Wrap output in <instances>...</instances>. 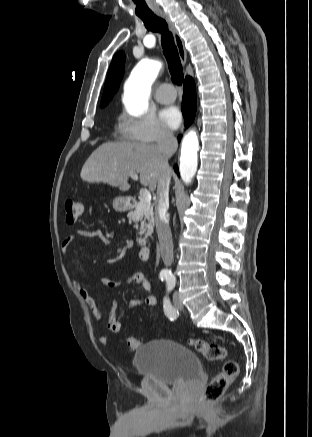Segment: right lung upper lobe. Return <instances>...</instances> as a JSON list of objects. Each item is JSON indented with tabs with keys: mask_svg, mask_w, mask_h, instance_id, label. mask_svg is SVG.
I'll use <instances>...</instances> for the list:
<instances>
[{
	"mask_svg": "<svg viewBox=\"0 0 312 437\" xmlns=\"http://www.w3.org/2000/svg\"><path fill=\"white\" fill-rule=\"evenodd\" d=\"M125 55L123 51L116 53L112 59L108 76L104 86V92L100 106L103 107L112 99L114 93L117 92L119 84L124 74Z\"/></svg>",
	"mask_w": 312,
	"mask_h": 437,
	"instance_id": "cb5924a9",
	"label": "right lung upper lobe"
}]
</instances>
